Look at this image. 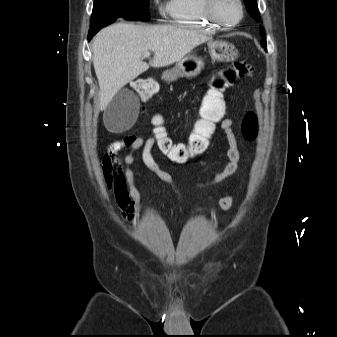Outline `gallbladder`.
Instances as JSON below:
<instances>
[{"mask_svg":"<svg viewBox=\"0 0 337 337\" xmlns=\"http://www.w3.org/2000/svg\"><path fill=\"white\" fill-rule=\"evenodd\" d=\"M139 113V100L133 91L120 90L104 111L105 127L112 132L129 129L136 121Z\"/></svg>","mask_w":337,"mask_h":337,"instance_id":"bac80fb5","label":"gallbladder"}]
</instances>
